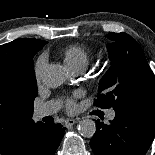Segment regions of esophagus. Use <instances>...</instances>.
<instances>
[{
	"label": "esophagus",
	"instance_id": "34e87169",
	"mask_svg": "<svg viewBox=\"0 0 155 155\" xmlns=\"http://www.w3.org/2000/svg\"><path fill=\"white\" fill-rule=\"evenodd\" d=\"M76 122H77L76 119H67L65 121V126L70 127V126L74 125Z\"/></svg>",
	"mask_w": 155,
	"mask_h": 155
}]
</instances>
